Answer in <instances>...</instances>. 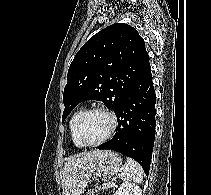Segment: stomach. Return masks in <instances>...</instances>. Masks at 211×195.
Segmentation results:
<instances>
[{"instance_id":"1","label":"stomach","mask_w":211,"mask_h":195,"mask_svg":"<svg viewBox=\"0 0 211 195\" xmlns=\"http://www.w3.org/2000/svg\"><path fill=\"white\" fill-rule=\"evenodd\" d=\"M122 158L115 152L103 151L94 161L89 181L93 177H107L116 174L121 169Z\"/></svg>"}]
</instances>
